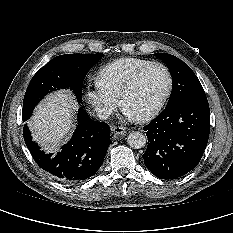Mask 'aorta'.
Masks as SVG:
<instances>
[{"instance_id": "obj_1", "label": "aorta", "mask_w": 233, "mask_h": 233, "mask_svg": "<svg viewBox=\"0 0 233 233\" xmlns=\"http://www.w3.org/2000/svg\"><path fill=\"white\" fill-rule=\"evenodd\" d=\"M146 136L138 131H133L127 136V144L133 149H140L146 144Z\"/></svg>"}]
</instances>
